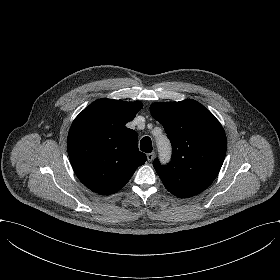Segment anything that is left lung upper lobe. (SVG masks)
<instances>
[{
    "label": "left lung upper lobe",
    "mask_w": 280,
    "mask_h": 280,
    "mask_svg": "<svg viewBox=\"0 0 280 280\" xmlns=\"http://www.w3.org/2000/svg\"><path fill=\"white\" fill-rule=\"evenodd\" d=\"M151 115L159 121L172 144V159L153 166L169 192L177 197H192L205 190L223 164L227 140L219 121L200 103H153Z\"/></svg>",
    "instance_id": "5c2ea615"
}]
</instances>
